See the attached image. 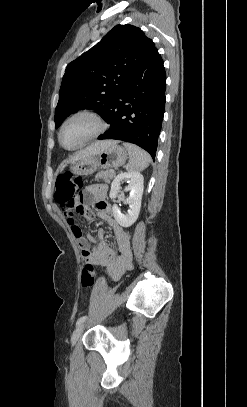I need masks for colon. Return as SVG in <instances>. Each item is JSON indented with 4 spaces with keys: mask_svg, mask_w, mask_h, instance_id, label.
I'll list each match as a JSON object with an SVG mask.
<instances>
[{
    "mask_svg": "<svg viewBox=\"0 0 247 407\" xmlns=\"http://www.w3.org/2000/svg\"><path fill=\"white\" fill-rule=\"evenodd\" d=\"M83 187L81 177H75L70 172H63L56 179V190L54 198L58 203H64L75 199ZM96 280V270L93 264H86L81 274V284L83 288L94 285Z\"/></svg>",
    "mask_w": 247,
    "mask_h": 407,
    "instance_id": "5ec220e1",
    "label": "colon"
}]
</instances>
